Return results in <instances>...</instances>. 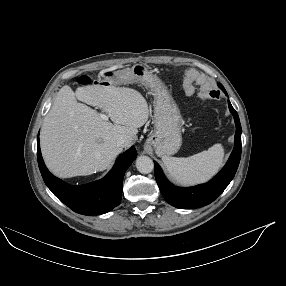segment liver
I'll return each mask as SVG.
<instances>
[{"instance_id":"obj_1","label":"liver","mask_w":286,"mask_h":286,"mask_svg":"<svg viewBox=\"0 0 286 286\" xmlns=\"http://www.w3.org/2000/svg\"><path fill=\"white\" fill-rule=\"evenodd\" d=\"M77 100L101 108L114 124ZM148 116L145 98L134 89L87 85L74 92L63 86L41 128L44 161L62 178L108 169L122 150L117 140L126 139L129 147Z\"/></svg>"}]
</instances>
